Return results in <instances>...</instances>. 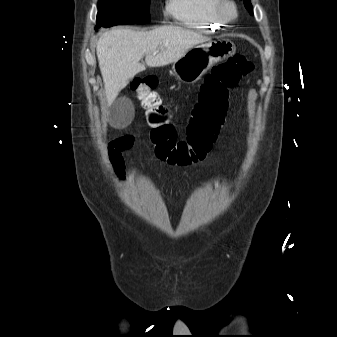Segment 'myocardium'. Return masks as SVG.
I'll return each mask as SVG.
<instances>
[{
  "mask_svg": "<svg viewBox=\"0 0 337 337\" xmlns=\"http://www.w3.org/2000/svg\"><path fill=\"white\" fill-rule=\"evenodd\" d=\"M218 12L228 22L234 21L239 13L238 6L234 0H220Z\"/></svg>",
  "mask_w": 337,
  "mask_h": 337,
  "instance_id": "obj_1",
  "label": "myocardium"
}]
</instances>
